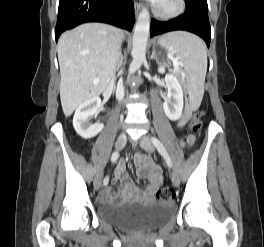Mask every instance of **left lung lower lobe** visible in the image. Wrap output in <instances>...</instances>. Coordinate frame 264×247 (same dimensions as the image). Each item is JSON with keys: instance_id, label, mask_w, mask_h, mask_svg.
I'll return each instance as SVG.
<instances>
[{"instance_id": "1", "label": "left lung lower lobe", "mask_w": 264, "mask_h": 247, "mask_svg": "<svg viewBox=\"0 0 264 247\" xmlns=\"http://www.w3.org/2000/svg\"><path fill=\"white\" fill-rule=\"evenodd\" d=\"M185 2L186 11L181 16L167 22L152 19L150 37L170 31L185 30L199 35L209 47L211 28L207 0H185Z\"/></svg>"}]
</instances>
